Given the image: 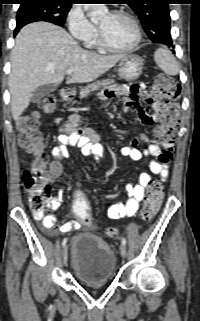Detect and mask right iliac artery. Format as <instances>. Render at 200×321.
I'll list each match as a JSON object with an SVG mask.
<instances>
[{
  "mask_svg": "<svg viewBox=\"0 0 200 321\" xmlns=\"http://www.w3.org/2000/svg\"><path fill=\"white\" fill-rule=\"evenodd\" d=\"M67 243V238H64L63 242H62V246L64 247Z\"/></svg>",
  "mask_w": 200,
  "mask_h": 321,
  "instance_id": "82829eb1",
  "label": "right iliac artery"
}]
</instances>
